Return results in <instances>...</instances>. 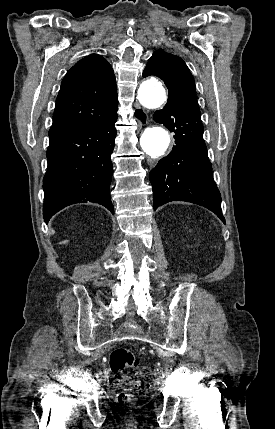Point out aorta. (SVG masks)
Segmentation results:
<instances>
[{
	"instance_id": "762f6f07",
	"label": "aorta",
	"mask_w": 275,
	"mask_h": 429,
	"mask_svg": "<svg viewBox=\"0 0 275 429\" xmlns=\"http://www.w3.org/2000/svg\"><path fill=\"white\" fill-rule=\"evenodd\" d=\"M139 102L148 109L161 107L166 101L165 90L158 80L150 78L142 82L138 90ZM171 142L168 131L160 126L146 128L141 137L140 145L151 158L162 156Z\"/></svg>"
}]
</instances>
